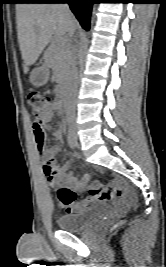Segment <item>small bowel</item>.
Masks as SVG:
<instances>
[{
	"mask_svg": "<svg viewBox=\"0 0 166 267\" xmlns=\"http://www.w3.org/2000/svg\"><path fill=\"white\" fill-rule=\"evenodd\" d=\"M59 112H60V106L57 104L54 110L42 116L40 124L43 130L46 127L47 123H49ZM32 129H33L37 149L43 155L48 157L50 159L49 161L53 160L58 150L57 147L46 150L45 143H43V145H40L38 142V136H37L38 125L36 124L35 121H32ZM53 137L55 138L56 141L61 142L64 138L63 130L61 128L57 129L53 133ZM68 168H69V164L65 163L61 167L55 168L56 170L55 176L50 177L46 175L48 178V186L50 187V189H54L58 181H62L65 184V186L71 189L72 191L84 190L87 188V185L84 182L80 181L77 178V176L67 172ZM102 190H103L102 186H93L89 191L90 192L89 196L85 198L79 206H76V205L68 206L62 203L61 204L62 206L66 208L67 213H73L79 208L89 207L95 199H102V201H107V199H112L116 196H120L123 193L126 194L131 201L135 200V195L128 191L127 186L120 179H115L112 185L104 189L103 192H95V191H102ZM109 191H113V192H109Z\"/></svg>",
	"mask_w": 166,
	"mask_h": 267,
	"instance_id": "small-bowel-1",
	"label": "small bowel"
}]
</instances>
